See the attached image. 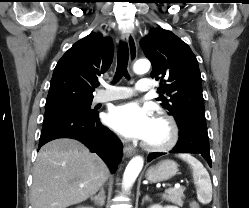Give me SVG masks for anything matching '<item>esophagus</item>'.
<instances>
[{
	"label": "esophagus",
	"mask_w": 249,
	"mask_h": 208,
	"mask_svg": "<svg viewBox=\"0 0 249 208\" xmlns=\"http://www.w3.org/2000/svg\"><path fill=\"white\" fill-rule=\"evenodd\" d=\"M122 38L127 42L129 53H130V60L131 62H134V60L137 57V43L135 40V37L132 32H123ZM136 153L135 149L127 144L124 143V154L126 157H131Z\"/></svg>",
	"instance_id": "34e87169"
}]
</instances>
